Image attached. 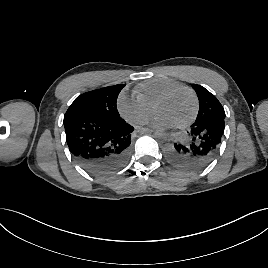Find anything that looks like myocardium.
<instances>
[{
	"instance_id": "f54148a6",
	"label": "myocardium",
	"mask_w": 268,
	"mask_h": 268,
	"mask_svg": "<svg viewBox=\"0 0 268 268\" xmlns=\"http://www.w3.org/2000/svg\"><path fill=\"white\" fill-rule=\"evenodd\" d=\"M180 91H186L190 94L192 100H193V112L191 114V116L185 120L184 122L175 125L174 127L177 129H183L186 128L187 126H189L191 123H193V121L196 119L198 112H199V99L196 95V93L194 92V90L188 86H184V85H178L175 86L173 88H171L170 90H168L167 92H165L154 104L153 110L154 113L157 115V109L158 107L165 101H167L169 98H171L173 95H175L176 93L180 92Z\"/></svg>"
}]
</instances>
